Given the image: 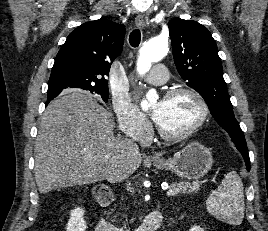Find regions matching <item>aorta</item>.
Instances as JSON below:
<instances>
[{"mask_svg":"<svg viewBox=\"0 0 268 231\" xmlns=\"http://www.w3.org/2000/svg\"><path fill=\"white\" fill-rule=\"evenodd\" d=\"M168 52V40L156 37L145 43L139 51V57L137 61V72L140 75L147 73L152 63L162 60ZM158 97L155 91H150L146 95V99L141 101V108L143 110L148 109L149 102L155 100Z\"/></svg>","mask_w":268,"mask_h":231,"instance_id":"762f6f07","label":"aorta"}]
</instances>
